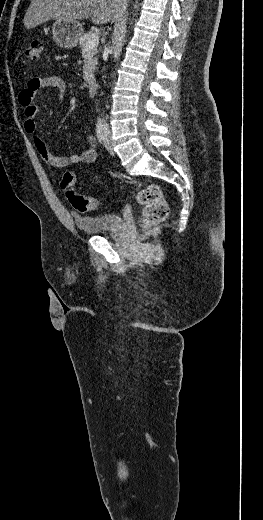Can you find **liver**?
<instances>
[{"label":"liver","instance_id":"6515ba94","mask_svg":"<svg viewBox=\"0 0 263 520\" xmlns=\"http://www.w3.org/2000/svg\"><path fill=\"white\" fill-rule=\"evenodd\" d=\"M127 0H32L24 26L34 28L51 19L78 21L91 18L95 24L119 19Z\"/></svg>","mask_w":263,"mask_h":520}]
</instances>
